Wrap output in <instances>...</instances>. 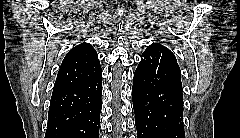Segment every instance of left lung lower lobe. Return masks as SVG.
<instances>
[{
	"instance_id": "left-lung-lower-lobe-1",
	"label": "left lung lower lobe",
	"mask_w": 240,
	"mask_h": 138,
	"mask_svg": "<svg viewBox=\"0 0 240 138\" xmlns=\"http://www.w3.org/2000/svg\"><path fill=\"white\" fill-rule=\"evenodd\" d=\"M132 96L137 138H185L181 72L168 48L144 51Z\"/></svg>"
}]
</instances>
